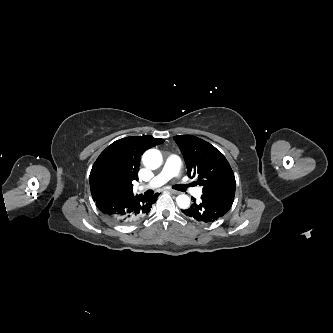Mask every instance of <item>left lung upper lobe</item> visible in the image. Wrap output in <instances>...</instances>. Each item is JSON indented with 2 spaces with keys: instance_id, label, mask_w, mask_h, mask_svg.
Here are the masks:
<instances>
[{
  "instance_id": "1",
  "label": "left lung upper lobe",
  "mask_w": 333,
  "mask_h": 333,
  "mask_svg": "<svg viewBox=\"0 0 333 333\" xmlns=\"http://www.w3.org/2000/svg\"><path fill=\"white\" fill-rule=\"evenodd\" d=\"M179 146L189 177H196L203 187V195L233 204L236 182L224 155L210 143L192 136L173 137Z\"/></svg>"
}]
</instances>
